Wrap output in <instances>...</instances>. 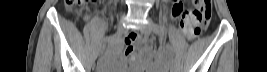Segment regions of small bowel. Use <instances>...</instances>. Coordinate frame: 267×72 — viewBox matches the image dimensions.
I'll use <instances>...</instances> for the list:
<instances>
[{
	"label": "small bowel",
	"instance_id": "small-bowel-1",
	"mask_svg": "<svg viewBox=\"0 0 267 72\" xmlns=\"http://www.w3.org/2000/svg\"><path fill=\"white\" fill-rule=\"evenodd\" d=\"M177 2H179V1H177ZM179 6H180L181 10L179 12L178 11H174L173 10L174 3H173V6H172V17L174 19H179L180 18V21H182L184 25L194 24L196 22V18L189 13V10L188 11H184L183 10V6H182L181 2H179ZM146 40H147V38L139 37V36H137L135 34L126 35L122 39V42L126 46L125 55L127 57L132 56L135 45L136 44H143V43H145ZM154 54H155V56L157 58H159V59L161 58V53L159 51H156Z\"/></svg>",
	"mask_w": 267,
	"mask_h": 72
}]
</instances>
